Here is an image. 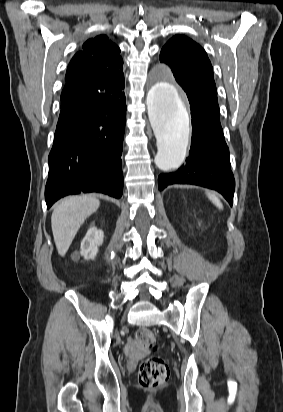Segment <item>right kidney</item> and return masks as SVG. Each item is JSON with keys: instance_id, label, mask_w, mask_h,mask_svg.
Here are the masks:
<instances>
[{"instance_id": "obj_1", "label": "right kidney", "mask_w": 283, "mask_h": 412, "mask_svg": "<svg viewBox=\"0 0 283 412\" xmlns=\"http://www.w3.org/2000/svg\"><path fill=\"white\" fill-rule=\"evenodd\" d=\"M104 234L102 230L91 227L81 242L80 254L85 259H94L98 253V247L103 243Z\"/></svg>"}]
</instances>
